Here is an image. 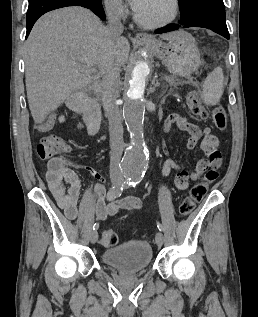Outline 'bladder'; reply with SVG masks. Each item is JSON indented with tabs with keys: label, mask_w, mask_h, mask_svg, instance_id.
Masks as SVG:
<instances>
[{
	"label": "bladder",
	"mask_w": 258,
	"mask_h": 317,
	"mask_svg": "<svg viewBox=\"0 0 258 317\" xmlns=\"http://www.w3.org/2000/svg\"><path fill=\"white\" fill-rule=\"evenodd\" d=\"M152 260V247L147 241L132 240L109 248L102 254V261L107 266L122 271H141Z\"/></svg>",
	"instance_id": "1"
}]
</instances>
